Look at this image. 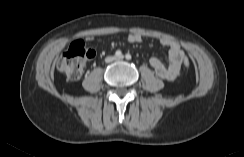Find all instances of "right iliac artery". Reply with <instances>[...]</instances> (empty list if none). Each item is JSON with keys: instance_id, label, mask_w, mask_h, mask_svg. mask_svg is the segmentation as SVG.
<instances>
[{"instance_id": "82829eb1", "label": "right iliac artery", "mask_w": 244, "mask_h": 157, "mask_svg": "<svg viewBox=\"0 0 244 157\" xmlns=\"http://www.w3.org/2000/svg\"><path fill=\"white\" fill-rule=\"evenodd\" d=\"M115 55H116L117 57L122 56V52H121L120 50H117V51L115 52Z\"/></svg>"}]
</instances>
